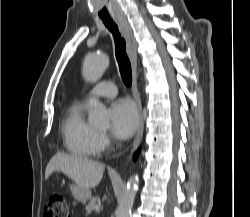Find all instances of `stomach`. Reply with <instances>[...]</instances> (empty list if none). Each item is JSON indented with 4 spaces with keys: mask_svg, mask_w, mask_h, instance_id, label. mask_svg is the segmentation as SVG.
<instances>
[{
    "mask_svg": "<svg viewBox=\"0 0 250 217\" xmlns=\"http://www.w3.org/2000/svg\"><path fill=\"white\" fill-rule=\"evenodd\" d=\"M74 199L81 204H86L91 198V190L87 188H79L76 185H71L70 187Z\"/></svg>",
    "mask_w": 250,
    "mask_h": 217,
    "instance_id": "stomach-1",
    "label": "stomach"
}]
</instances>
